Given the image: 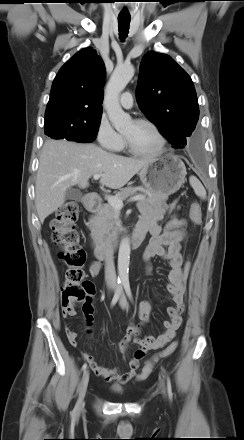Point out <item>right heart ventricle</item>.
Returning <instances> with one entry per match:
<instances>
[{
  "mask_svg": "<svg viewBox=\"0 0 244 440\" xmlns=\"http://www.w3.org/2000/svg\"><path fill=\"white\" fill-rule=\"evenodd\" d=\"M124 142H122V144L120 145V147L118 148V150H123L124 149Z\"/></svg>",
  "mask_w": 244,
  "mask_h": 440,
  "instance_id": "right-heart-ventricle-1",
  "label": "right heart ventricle"
}]
</instances>
